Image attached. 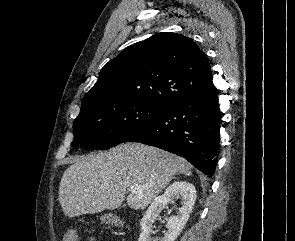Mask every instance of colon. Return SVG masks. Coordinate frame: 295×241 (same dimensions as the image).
<instances>
[{
    "label": "colon",
    "mask_w": 295,
    "mask_h": 241,
    "mask_svg": "<svg viewBox=\"0 0 295 241\" xmlns=\"http://www.w3.org/2000/svg\"><path fill=\"white\" fill-rule=\"evenodd\" d=\"M107 221L112 222L115 225H119L118 220L114 218H109ZM64 241H77V232L75 230H69L64 236Z\"/></svg>",
    "instance_id": "5ec220e1"
}]
</instances>
